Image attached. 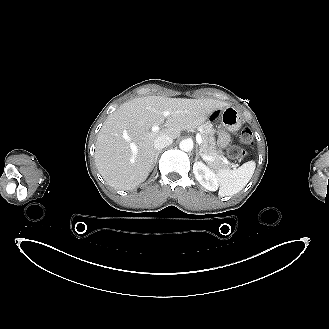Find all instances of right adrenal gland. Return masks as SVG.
<instances>
[{
	"instance_id": "obj_1",
	"label": "right adrenal gland",
	"mask_w": 329,
	"mask_h": 329,
	"mask_svg": "<svg viewBox=\"0 0 329 329\" xmlns=\"http://www.w3.org/2000/svg\"><path fill=\"white\" fill-rule=\"evenodd\" d=\"M160 152H161V151H157V152H156V154H155V158H154V165H153V166H155V164H156V162H157L158 155L160 154Z\"/></svg>"
}]
</instances>
